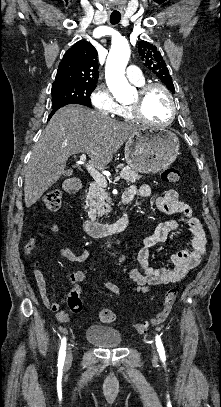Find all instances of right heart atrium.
I'll return each mask as SVG.
<instances>
[{"label": "right heart atrium", "instance_id": "obj_1", "mask_svg": "<svg viewBox=\"0 0 221 407\" xmlns=\"http://www.w3.org/2000/svg\"><path fill=\"white\" fill-rule=\"evenodd\" d=\"M90 102L96 111L109 116L116 114L119 109V104L114 100L109 89L101 84L91 92Z\"/></svg>", "mask_w": 221, "mask_h": 407}]
</instances>
